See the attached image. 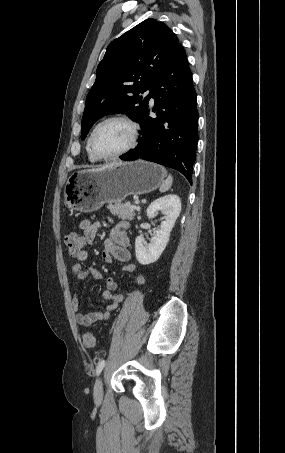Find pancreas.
<instances>
[{"instance_id": "cf45deb5", "label": "pancreas", "mask_w": 285, "mask_h": 453, "mask_svg": "<svg viewBox=\"0 0 285 453\" xmlns=\"http://www.w3.org/2000/svg\"><path fill=\"white\" fill-rule=\"evenodd\" d=\"M129 203L109 204L108 209L110 212L121 219L133 220L135 216V209L130 208Z\"/></svg>"}]
</instances>
